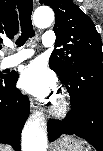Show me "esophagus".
<instances>
[{
  "mask_svg": "<svg viewBox=\"0 0 103 151\" xmlns=\"http://www.w3.org/2000/svg\"><path fill=\"white\" fill-rule=\"evenodd\" d=\"M30 104H31L32 111H36L37 109L36 103L33 100H31Z\"/></svg>",
  "mask_w": 103,
  "mask_h": 151,
  "instance_id": "obj_1",
  "label": "esophagus"
}]
</instances>
